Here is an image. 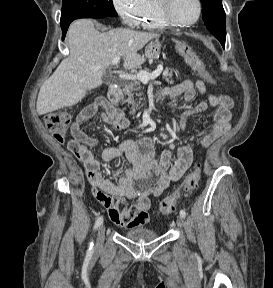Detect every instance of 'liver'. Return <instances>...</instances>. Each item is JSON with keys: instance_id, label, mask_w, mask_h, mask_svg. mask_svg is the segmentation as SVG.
Masks as SVG:
<instances>
[{"instance_id": "6515ba94", "label": "liver", "mask_w": 273, "mask_h": 288, "mask_svg": "<svg viewBox=\"0 0 273 288\" xmlns=\"http://www.w3.org/2000/svg\"><path fill=\"white\" fill-rule=\"evenodd\" d=\"M157 33L112 29L99 32L90 19L74 21L68 30L70 54L41 86L36 109L38 115L76 105L88 90L102 84V76L115 57H123L126 70L145 62L138 54Z\"/></svg>"}]
</instances>
